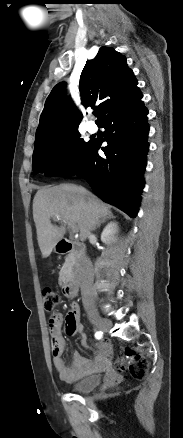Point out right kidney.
<instances>
[{
	"label": "right kidney",
	"instance_id": "right-kidney-1",
	"mask_svg": "<svg viewBox=\"0 0 183 438\" xmlns=\"http://www.w3.org/2000/svg\"><path fill=\"white\" fill-rule=\"evenodd\" d=\"M118 232L116 222H110L101 233V240L104 243H111L115 240V234Z\"/></svg>",
	"mask_w": 183,
	"mask_h": 438
}]
</instances>
